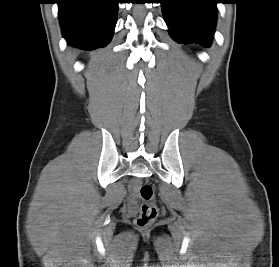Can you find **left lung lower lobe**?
Segmentation results:
<instances>
[{
	"instance_id": "left-lung-lower-lobe-1",
	"label": "left lung lower lobe",
	"mask_w": 279,
	"mask_h": 267,
	"mask_svg": "<svg viewBox=\"0 0 279 267\" xmlns=\"http://www.w3.org/2000/svg\"><path fill=\"white\" fill-rule=\"evenodd\" d=\"M160 3L173 39L210 46L219 0H161Z\"/></svg>"
}]
</instances>
